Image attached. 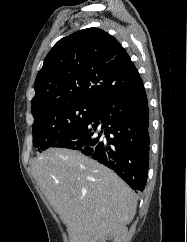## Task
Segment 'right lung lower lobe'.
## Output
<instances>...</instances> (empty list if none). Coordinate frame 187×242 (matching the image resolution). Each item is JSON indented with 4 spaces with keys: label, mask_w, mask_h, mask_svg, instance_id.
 <instances>
[{
    "label": "right lung lower lobe",
    "mask_w": 187,
    "mask_h": 242,
    "mask_svg": "<svg viewBox=\"0 0 187 242\" xmlns=\"http://www.w3.org/2000/svg\"><path fill=\"white\" fill-rule=\"evenodd\" d=\"M149 108L143 84L112 96L51 147L78 150L114 170L134 190L145 188L149 165Z\"/></svg>",
    "instance_id": "98d812e1"
}]
</instances>
